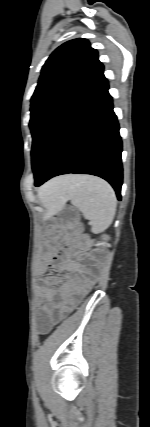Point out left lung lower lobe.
I'll use <instances>...</instances> for the list:
<instances>
[{
  "instance_id": "0a47b994",
  "label": "left lung lower lobe",
  "mask_w": 150,
  "mask_h": 427,
  "mask_svg": "<svg viewBox=\"0 0 150 427\" xmlns=\"http://www.w3.org/2000/svg\"><path fill=\"white\" fill-rule=\"evenodd\" d=\"M122 142L103 73L33 134L35 186L68 173L107 180L121 200Z\"/></svg>"
}]
</instances>
